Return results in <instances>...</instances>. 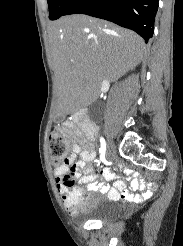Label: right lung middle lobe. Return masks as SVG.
I'll return each instance as SVG.
<instances>
[{
  "label": "right lung middle lobe",
  "instance_id": "obj_1",
  "mask_svg": "<svg viewBox=\"0 0 183 246\" xmlns=\"http://www.w3.org/2000/svg\"><path fill=\"white\" fill-rule=\"evenodd\" d=\"M49 5V19L56 20L66 13L75 0H47Z\"/></svg>",
  "mask_w": 183,
  "mask_h": 246
}]
</instances>
